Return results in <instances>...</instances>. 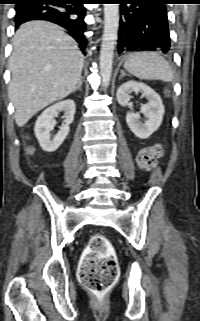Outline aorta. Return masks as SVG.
<instances>
[{
	"label": "aorta",
	"instance_id": "762f6f07",
	"mask_svg": "<svg viewBox=\"0 0 200 321\" xmlns=\"http://www.w3.org/2000/svg\"><path fill=\"white\" fill-rule=\"evenodd\" d=\"M118 27L119 5L104 4V32L100 51V75L103 87H107L111 79Z\"/></svg>",
	"mask_w": 200,
	"mask_h": 321
}]
</instances>
